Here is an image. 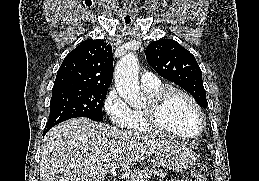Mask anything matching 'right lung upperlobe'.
<instances>
[{"mask_svg": "<svg viewBox=\"0 0 259 181\" xmlns=\"http://www.w3.org/2000/svg\"><path fill=\"white\" fill-rule=\"evenodd\" d=\"M113 78L111 46L103 40L81 42L63 60L54 82L57 87L108 89Z\"/></svg>", "mask_w": 259, "mask_h": 181, "instance_id": "obj_1", "label": "right lung upper lobe"}]
</instances>
